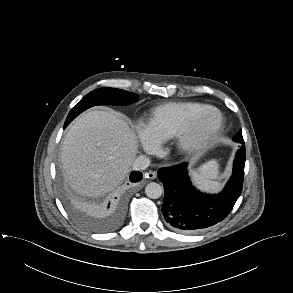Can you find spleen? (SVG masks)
Returning <instances> with one entry per match:
<instances>
[{"label": "spleen", "mask_w": 293, "mask_h": 293, "mask_svg": "<svg viewBox=\"0 0 293 293\" xmlns=\"http://www.w3.org/2000/svg\"><path fill=\"white\" fill-rule=\"evenodd\" d=\"M218 163L210 161L200 168V172H193L196 184L204 190L215 191L219 188V183L213 179L218 176Z\"/></svg>", "instance_id": "spleen-1"}]
</instances>
